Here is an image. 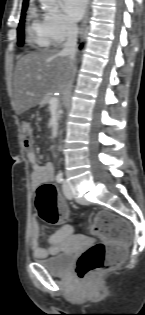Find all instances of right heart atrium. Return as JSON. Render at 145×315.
<instances>
[{
    "mask_svg": "<svg viewBox=\"0 0 145 315\" xmlns=\"http://www.w3.org/2000/svg\"><path fill=\"white\" fill-rule=\"evenodd\" d=\"M43 20L51 38L57 43L72 37L76 33V25L58 11L46 12Z\"/></svg>",
    "mask_w": 145,
    "mask_h": 315,
    "instance_id": "1",
    "label": "right heart atrium"
}]
</instances>
